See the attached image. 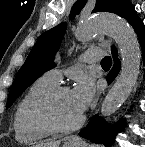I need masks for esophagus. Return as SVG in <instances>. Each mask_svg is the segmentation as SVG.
Returning a JSON list of instances; mask_svg holds the SVG:
<instances>
[{"label":"esophagus","mask_w":145,"mask_h":147,"mask_svg":"<svg viewBox=\"0 0 145 147\" xmlns=\"http://www.w3.org/2000/svg\"><path fill=\"white\" fill-rule=\"evenodd\" d=\"M78 140H79V139L76 138V137H73V138L70 139V141H73V142H74V141H78Z\"/></svg>","instance_id":"obj_1"}]
</instances>
